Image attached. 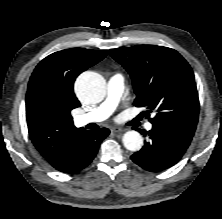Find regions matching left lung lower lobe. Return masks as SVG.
Returning <instances> with one entry per match:
<instances>
[{"label":"left lung lower lobe","instance_id":"left-lung-lower-lobe-1","mask_svg":"<svg viewBox=\"0 0 222 219\" xmlns=\"http://www.w3.org/2000/svg\"><path fill=\"white\" fill-rule=\"evenodd\" d=\"M145 134L150 140L131 159L150 172L161 171L176 164L192 140V136L166 125H153Z\"/></svg>","mask_w":222,"mask_h":219}]
</instances>
